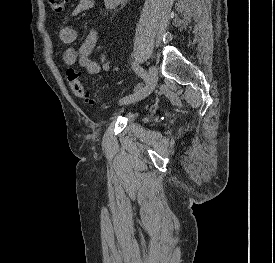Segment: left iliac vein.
<instances>
[{"instance_id": "left-iliac-vein-1", "label": "left iliac vein", "mask_w": 275, "mask_h": 263, "mask_svg": "<svg viewBox=\"0 0 275 263\" xmlns=\"http://www.w3.org/2000/svg\"><path fill=\"white\" fill-rule=\"evenodd\" d=\"M157 80H158L157 69L155 66H150L148 71V78L144 86L139 90H137L136 92L129 94L123 97L122 99H120L119 104L126 105V104H130V103L144 99L153 91V89L157 84Z\"/></svg>"}]
</instances>
